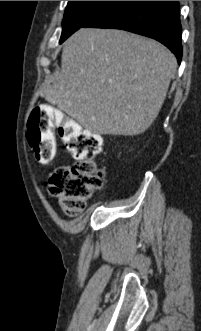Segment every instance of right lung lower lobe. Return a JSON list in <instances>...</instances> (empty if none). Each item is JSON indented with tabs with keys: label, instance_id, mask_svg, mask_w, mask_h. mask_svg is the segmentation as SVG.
Here are the masks:
<instances>
[{
	"label": "right lung lower lobe",
	"instance_id": "right-lung-lower-lobe-1",
	"mask_svg": "<svg viewBox=\"0 0 201 331\" xmlns=\"http://www.w3.org/2000/svg\"><path fill=\"white\" fill-rule=\"evenodd\" d=\"M83 27L122 29L156 39L181 62L179 1H112Z\"/></svg>",
	"mask_w": 201,
	"mask_h": 331
}]
</instances>
